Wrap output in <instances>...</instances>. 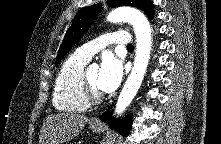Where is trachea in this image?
Wrapping results in <instances>:
<instances>
[{
	"label": "trachea",
	"mask_w": 221,
	"mask_h": 144,
	"mask_svg": "<svg viewBox=\"0 0 221 144\" xmlns=\"http://www.w3.org/2000/svg\"><path fill=\"white\" fill-rule=\"evenodd\" d=\"M133 48H134V47H133L132 44H128V45H127V49L133 50Z\"/></svg>",
	"instance_id": "obj_1"
}]
</instances>
